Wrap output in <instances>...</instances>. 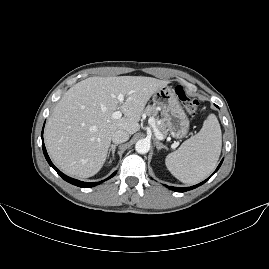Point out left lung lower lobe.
I'll return each mask as SVG.
<instances>
[{"label": "left lung lower lobe", "instance_id": "left-lung-lower-lobe-1", "mask_svg": "<svg viewBox=\"0 0 269 269\" xmlns=\"http://www.w3.org/2000/svg\"><path fill=\"white\" fill-rule=\"evenodd\" d=\"M222 162H223V159H222V161L220 162V164L218 165V167H217V169L215 170V172L219 169V167L221 166ZM215 172H214V173H215ZM209 178H210V177H209ZM209 178H208V179H209ZM208 179H206L205 181L201 182L200 184H197V185L192 186V187H181V188H180V187H173V186H171V187H169V189H170V190H173V191H176V192H185V191L194 189V188H196V187L202 185V184L205 183Z\"/></svg>", "mask_w": 269, "mask_h": 269}]
</instances>
